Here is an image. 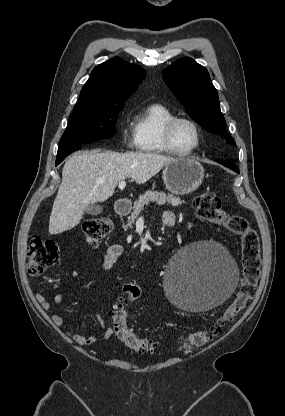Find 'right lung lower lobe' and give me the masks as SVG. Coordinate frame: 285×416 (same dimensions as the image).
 Listing matches in <instances>:
<instances>
[{
    "label": "right lung lower lobe",
    "mask_w": 285,
    "mask_h": 416,
    "mask_svg": "<svg viewBox=\"0 0 285 416\" xmlns=\"http://www.w3.org/2000/svg\"><path fill=\"white\" fill-rule=\"evenodd\" d=\"M80 149H81V144H74V145L59 147L57 157H56V165L60 164L69 154Z\"/></svg>",
    "instance_id": "1"
}]
</instances>
